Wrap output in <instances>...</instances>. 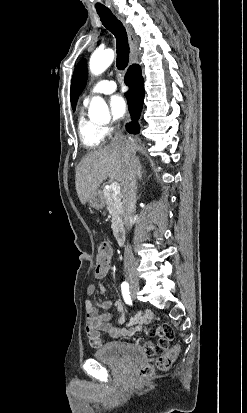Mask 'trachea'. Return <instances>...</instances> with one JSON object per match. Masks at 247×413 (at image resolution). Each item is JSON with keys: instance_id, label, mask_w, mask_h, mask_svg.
I'll use <instances>...</instances> for the list:
<instances>
[{"instance_id": "1", "label": "trachea", "mask_w": 247, "mask_h": 413, "mask_svg": "<svg viewBox=\"0 0 247 413\" xmlns=\"http://www.w3.org/2000/svg\"><path fill=\"white\" fill-rule=\"evenodd\" d=\"M97 13L104 27L115 35L117 42L116 66L119 70H125L129 62V44L125 27L113 13L107 11H97Z\"/></svg>"}]
</instances>
